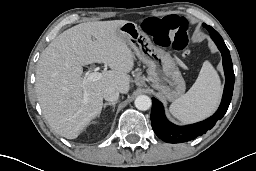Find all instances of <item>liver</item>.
I'll return each instance as SVG.
<instances>
[{
	"label": "liver",
	"instance_id": "obj_1",
	"mask_svg": "<svg viewBox=\"0 0 256 171\" xmlns=\"http://www.w3.org/2000/svg\"><path fill=\"white\" fill-rule=\"evenodd\" d=\"M126 22L78 24L59 34L42 52L36 70V94L49 126L62 137L77 138L100 115L106 88L128 93L134 56L118 33ZM92 63H104L111 70L97 81L84 83L82 66Z\"/></svg>",
	"mask_w": 256,
	"mask_h": 171
}]
</instances>
